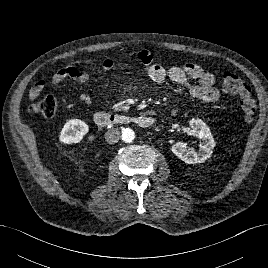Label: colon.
I'll list each match as a JSON object with an SVG mask.
<instances>
[{
    "label": "colon",
    "instance_id": "colon-1",
    "mask_svg": "<svg viewBox=\"0 0 268 268\" xmlns=\"http://www.w3.org/2000/svg\"><path fill=\"white\" fill-rule=\"evenodd\" d=\"M222 83L227 92L239 96L241 106L248 115L247 121L249 122L257 109L256 101L252 96L250 86L240 77L229 72L223 73ZM30 109L41 114L45 118H51L57 112L58 100L52 95L38 98L33 102Z\"/></svg>",
    "mask_w": 268,
    "mask_h": 268
}]
</instances>
